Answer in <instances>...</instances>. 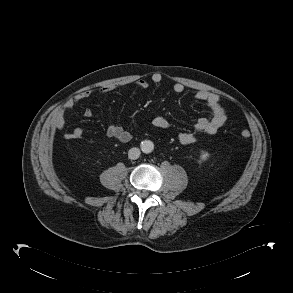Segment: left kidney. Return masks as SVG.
Listing matches in <instances>:
<instances>
[{
    "instance_id": "left-kidney-1",
    "label": "left kidney",
    "mask_w": 293,
    "mask_h": 293,
    "mask_svg": "<svg viewBox=\"0 0 293 293\" xmlns=\"http://www.w3.org/2000/svg\"><path fill=\"white\" fill-rule=\"evenodd\" d=\"M200 157L202 160H207L209 158V154L206 151H202Z\"/></svg>"
}]
</instances>
